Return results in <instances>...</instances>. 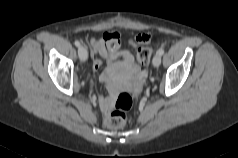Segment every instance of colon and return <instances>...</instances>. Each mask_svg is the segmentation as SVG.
Listing matches in <instances>:
<instances>
[{
    "label": "colon",
    "mask_w": 238,
    "mask_h": 158,
    "mask_svg": "<svg viewBox=\"0 0 238 158\" xmlns=\"http://www.w3.org/2000/svg\"><path fill=\"white\" fill-rule=\"evenodd\" d=\"M151 49L147 46H138L136 51L137 61L141 65H147L151 58ZM133 103L132 96L127 92H121L115 101L114 109L106 115L104 124L111 129L122 128L127 119V111Z\"/></svg>",
    "instance_id": "5ec220e1"
}]
</instances>
